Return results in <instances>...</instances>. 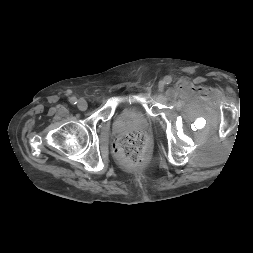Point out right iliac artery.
<instances>
[{"label": "right iliac artery", "instance_id": "82829eb1", "mask_svg": "<svg viewBox=\"0 0 253 253\" xmlns=\"http://www.w3.org/2000/svg\"><path fill=\"white\" fill-rule=\"evenodd\" d=\"M69 101H70V103L71 104H77V102H78V100H77V98L76 97H71L70 99H69Z\"/></svg>", "mask_w": 253, "mask_h": 253}]
</instances>
